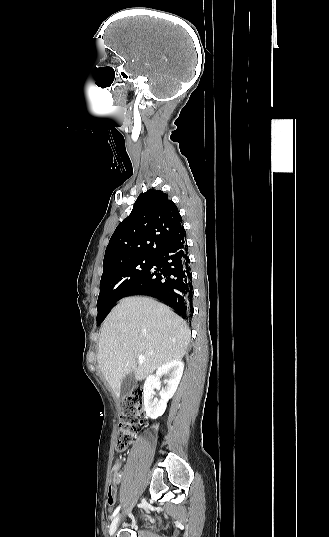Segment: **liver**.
I'll return each instance as SVG.
<instances>
[{
    "label": "liver",
    "instance_id": "obj_1",
    "mask_svg": "<svg viewBox=\"0 0 329 537\" xmlns=\"http://www.w3.org/2000/svg\"><path fill=\"white\" fill-rule=\"evenodd\" d=\"M186 322L168 306L149 297H126L105 320L98 366L116 397L122 379L134 372L142 380L164 364L181 360L190 342ZM138 356L145 360L139 362Z\"/></svg>",
    "mask_w": 329,
    "mask_h": 537
}]
</instances>
